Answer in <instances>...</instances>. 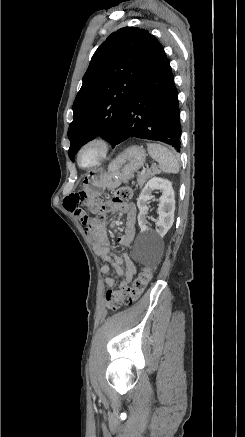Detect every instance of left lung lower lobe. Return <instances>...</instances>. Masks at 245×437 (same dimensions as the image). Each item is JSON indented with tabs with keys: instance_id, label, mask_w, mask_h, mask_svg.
<instances>
[{
	"instance_id": "1",
	"label": "left lung lower lobe",
	"mask_w": 245,
	"mask_h": 437,
	"mask_svg": "<svg viewBox=\"0 0 245 437\" xmlns=\"http://www.w3.org/2000/svg\"><path fill=\"white\" fill-rule=\"evenodd\" d=\"M114 146L130 137L161 141L180 150L178 93L170 62L160 44L126 103Z\"/></svg>"
}]
</instances>
